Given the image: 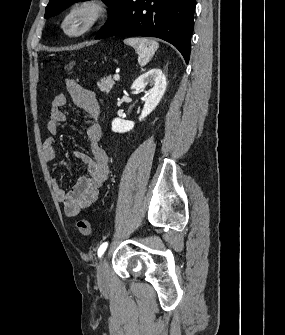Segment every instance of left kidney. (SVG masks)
<instances>
[{
    "instance_id": "left-kidney-1",
    "label": "left kidney",
    "mask_w": 285,
    "mask_h": 335,
    "mask_svg": "<svg viewBox=\"0 0 285 335\" xmlns=\"http://www.w3.org/2000/svg\"><path fill=\"white\" fill-rule=\"evenodd\" d=\"M150 84L152 86L148 94L145 96L144 108L138 118V120H144L148 114H151L158 106L167 86L166 78L158 68L154 70H149L146 74L139 76L137 80H134L131 90H139V92H145L144 88ZM135 122H128V120H121V118H114L112 122L113 132H119V134H124V132H130L133 130Z\"/></svg>"
}]
</instances>
